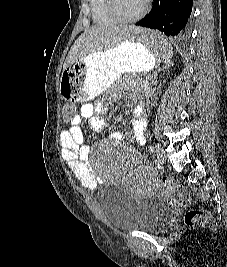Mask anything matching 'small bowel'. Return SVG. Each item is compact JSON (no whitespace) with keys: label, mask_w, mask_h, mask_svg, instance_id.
I'll list each match as a JSON object with an SVG mask.
<instances>
[{"label":"small bowel","mask_w":227,"mask_h":267,"mask_svg":"<svg viewBox=\"0 0 227 267\" xmlns=\"http://www.w3.org/2000/svg\"><path fill=\"white\" fill-rule=\"evenodd\" d=\"M105 110L104 103H87L81 106L75 119H70L69 127L60 133L59 140L61 153L68 166L73 170L76 178L88 190H95L99 184L97 174L91 169L87 160L90 149L81 130L84 121L89 120L90 126L95 131L105 127V120L100 116ZM132 140L143 144L145 141L146 121L141 109H135L131 117ZM122 133H116L115 138H123Z\"/></svg>","instance_id":"c3829d8e"}]
</instances>
